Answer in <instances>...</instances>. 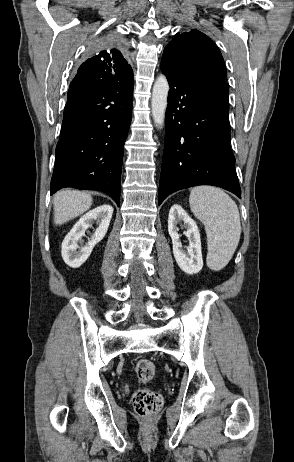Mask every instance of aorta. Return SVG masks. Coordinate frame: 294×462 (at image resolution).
I'll return each mask as SVG.
<instances>
[{
	"label": "aorta",
	"mask_w": 294,
	"mask_h": 462,
	"mask_svg": "<svg viewBox=\"0 0 294 462\" xmlns=\"http://www.w3.org/2000/svg\"><path fill=\"white\" fill-rule=\"evenodd\" d=\"M169 84L165 75L160 74L153 86L151 109L154 123L162 127L165 121Z\"/></svg>",
	"instance_id": "obj_1"
}]
</instances>
